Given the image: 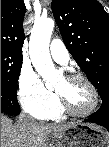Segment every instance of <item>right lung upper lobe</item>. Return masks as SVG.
Instances as JSON below:
<instances>
[{
	"instance_id": "1",
	"label": "right lung upper lobe",
	"mask_w": 109,
	"mask_h": 147,
	"mask_svg": "<svg viewBox=\"0 0 109 147\" xmlns=\"http://www.w3.org/2000/svg\"><path fill=\"white\" fill-rule=\"evenodd\" d=\"M24 15L23 0L1 1V49L22 55Z\"/></svg>"
}]
</instances>
